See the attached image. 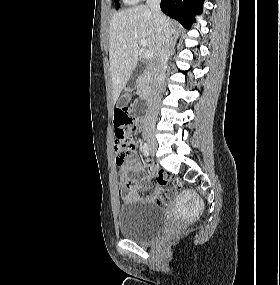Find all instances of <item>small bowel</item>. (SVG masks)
<instances>
[{
  "label": "small bowel",
  "mask_w": 280,
  "mask_h": 285,
  "mask_svg": "<svg viewBox=\"0 0 280 285\" xmlns=\"http://www.w3.org/2000/svg\"><path fill=\"white\" fill-rule=\"evenodd\" d=\"M120 170L122 197L128 201L138 198L137 189H142L144 183L150 182L147 173L142 168L140 160L136 156H130L120 164ZM147 171L148 173L155 175L158 170L153 164H148ZM145 200L154 202L157 205L164 204L165 200L162 196V188L157 187Z\"/></svg>",
  "instance_id": "small-bowel-1"
}]
</instances>
